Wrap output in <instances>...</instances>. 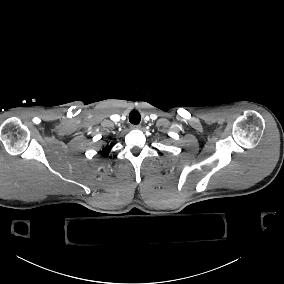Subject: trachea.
<instances>
[{"instance_id": "trachea-1", "label": "trachea", "mask_w": 284, "mask_h": 284, "mask_svg": "<svg viewBox=\"0 0 284 284\" xmlns=\"http://www.w3.org/2000/svg\"><path fill=\"white\" fill-rule=\"evenodd\" d=\"M141 120L140 113L137 110H132L129 114V121L132 124H139Z\"/></svg>"}]
</instances>
